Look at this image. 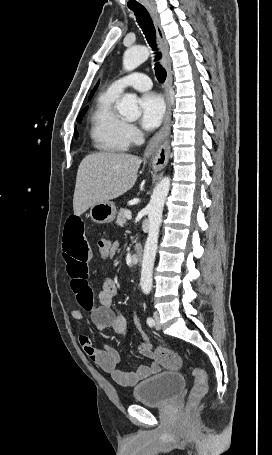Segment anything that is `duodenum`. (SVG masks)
Here are the masks:
<instances>
[{"label":"duodenum","instance_id":"1","mask_svg":"<svg viewBox=\"0 0 272 455\" xmlns=\"http://www.w3.org/2000/svg\"><path fill=\"white\" fill-rule=\"evenodd\" d=\"M134 256L138 263L141 262L143 257V248L140 244H135L134 246Z\"/></svg>","mask_w":272,"mask_h":455}]
</instances>
